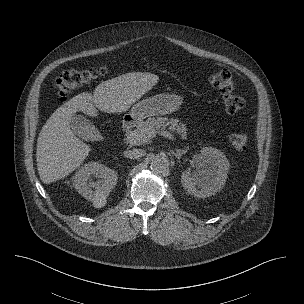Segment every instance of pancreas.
Returning a JSON list of instances; mask_svg holds the SVG:
<instances>
[{"instance_id": "1", "label": "pancreas", "mask_w": 304, "mask_h": 304, "mask_svg": "<svg viewBox=\"0 0 304 304\" xmlns=\"http://www.w3.org/2000/svg\"><path fill=\"white\" fill-rule=\"evenodd\" d=\"M166 127L169 128L170 131H175L178 134H180L183 138H186L187 136V127L186 124H183L178 119H167L163 117H157V118H148L144 122H140L137 125V129L134 131H131L128 134V137H132L133 141H130L127 137V141L131 144L135 145H143L147 143L151 137H149V134L152 131H159L162 129H165Z\"/></svg>"}]
</instances>
